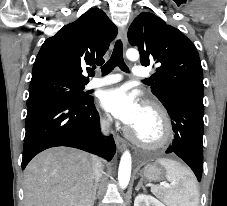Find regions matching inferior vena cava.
Masks as SVG:
<instances>
[{"label":"inferior vena cava","instance_id":"inferior-vena-cava-1","mask_svg":"<svg viewBox=\"0 0 227 206\" xmlns=\"http://www.w3.org/2000/svg\"><path fill=\"white\" fill-rule=\"evenodd\" d=\"M112 118L110 116L107 117V119L102 121V131L104 134H107L109 132L110 124H111ZM93 171L96 182L101 177L102 173V161L98 157H95L94 163H93Z\"/></svg>","mask_w":227,"mask_h":206}]
</instances>
